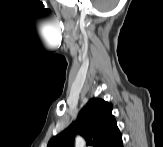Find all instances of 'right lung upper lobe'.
Instances as JSON below:
<instances>
[{
    "instance_id": "obj_1",
    "label": "right lung upper lobe",
    "mask_w": 163,
    "mask_h": 147,
    "mask_svg": "<svg viewBox=\"0 0 163 147\" xmlns=\"http://www.w3.org/2000/svg\"><path fill=\"white\" fill-rule=\"evenodd\" d=\"M113 106L103 99L93 98L80 111L77 120L57 136L47 147H72L76 132L92 147H111L120 137Z\"/></svg>"
}]
</instances>
